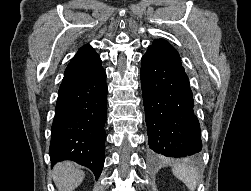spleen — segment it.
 I'll return each instance as SVG.
<instances>
[{
    "label": "spleen",
    "mask_w": 251,
    "mask_h": 191,
    "mask_svg": "<svg viewBox=\"0 0 251 191\" xmlns=\"http://www.w3.org/2000/svg\"><path fill=\"white\" fill-rule=\"evenodd\" d=\"M172 171L178 179H181V181L187 185L190 191H195L199 179L197 167L180 163V165H174Z\"/></svg>",
    "instance_id": "1"
}]
</instances>
